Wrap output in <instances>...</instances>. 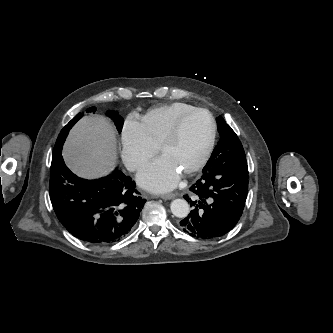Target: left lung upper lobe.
Here are the masks:
<instances>
[{
    "instance_id": "obj_1",
    "label": "left lung upper lobe",
    "mask_w": 333,
    "mask_h": 333,
    "mask_svg": "<svg viewBox=\"0 0 333 333\" xmlns=\"http://www.w3.org/2000/svg\"><path fill=\"white\" fill-rule=\"evenodd\" d=\"M217 126L220 133V140L214 148L203 172L217 169L225 163H237L245 159V152L238 136L222 116L217 118Z\"/></svg>"
}]
</instances>
